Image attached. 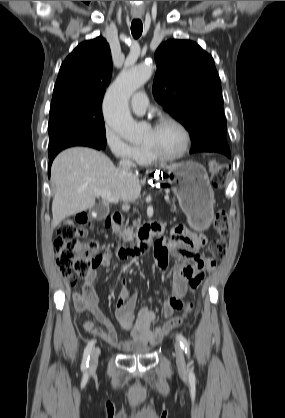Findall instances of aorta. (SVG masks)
Segmentation results:
<instances>
[{
	"mask_svg": "<svg viewBox=\"0 0 285 418\" xmlns=\"http://www.w3.org/2000/svg\"><path fill=\"white\" fill-rule=\"evenodd\" d=\"M152 72L150 63L123 69L105 96L103 113L107 125L131 143L142 140L144 127L133 120L128 101L150 79Z\"/></svg>",
	"mask_w": 285,
	"mask_h": 418,
	"instance_id": "762f6f07",
	"label": "aorta"
}]
</instances>
